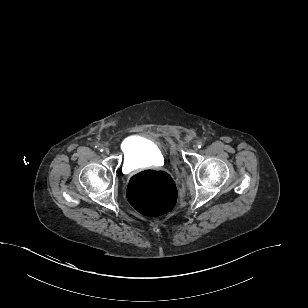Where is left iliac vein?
<instances>
[{"mask_svg": "<svg viewBox=\"0 0 308 308\" xmlns=\"http://www.w3.org/2000/svg\"><path fill=\"white\" fill-rule=\"evenodd\" d=\"M197 143H198V142L194 143V145H193V148H194L195 150H197V149H198V145H197Z\"/></svg>", "mask_w": 308, "mask_h": 308, "instance_id": "obj_1", "label": "left iliac vein"}]
</instances>
